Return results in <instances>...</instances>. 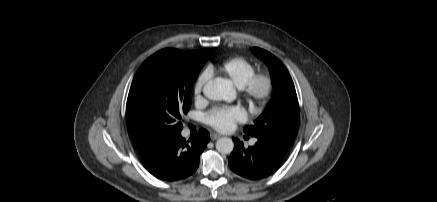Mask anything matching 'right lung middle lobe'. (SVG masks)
<instances>
[{"mask_svg": "<svg viewBox=\"0 0 437 202\" xmlns=\"http://www.w3.org/2000/svg\"><path fill=\"white\" fill-rule=\"evenodd\" d=\"M213 50L189 57L176 49H163L138 69L129 91L126 120L138 149H153L181 132V117L191 106L192 85Z\"/></svg>", "mask_w": 437, "mask_h": 202, "instance_id": "dd1d6c3e", "label": "right lung middle lobe"}]
</instances>
